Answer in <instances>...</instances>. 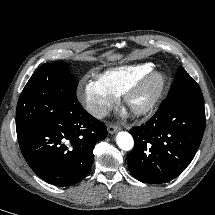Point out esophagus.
<instances>
[{"mask_svg":"<svg viewBox=\"0 0 215 215\" xmlns=\"http://www.w3.org/2000/svg\"><path fill=\"white\" fill-rule=\"evenodd\" d=\"M120 129H121L120 126L114 125V124H109V125L107 126V130H108V132H109L110 134L116 133V132H118Z\"/></svg>","mask_w":215,"mask_h":215,"instance_id":"obj_1","label":"esophagus"}]
</instances>
